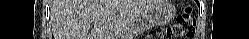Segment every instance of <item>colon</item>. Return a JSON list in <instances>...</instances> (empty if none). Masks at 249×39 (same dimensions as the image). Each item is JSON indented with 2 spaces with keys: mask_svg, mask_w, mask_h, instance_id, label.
<instances>
[{
  "mask_svg": "<svg viewBox=\"0 0 249 39\" xmlns=\"http://www.w3.org/2000/svg\"><path fill=\"white\" fill-rule=\"evenodd\" d=\"M195 20L192 8L185 5L182 13H180L175 22L167 29L166 37L169 39H183L194 35Z\"/></svg>",
  "mask_w": 249,
  "mask_h": 39,
  "instance_id": "obj_1",
  "label": "colon"
}]
</instances>
